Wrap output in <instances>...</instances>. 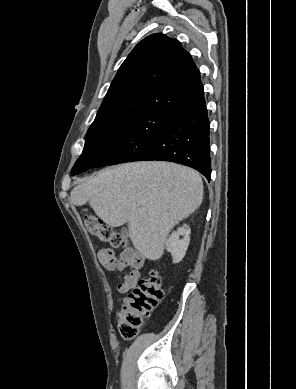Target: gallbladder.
I'll use <instances>...</instances> for the list:
<instances>
[{
    "label": "gallbladder",
    "mask_w": 296,
    "mask_h": 389,
    "mask_svg": "<svg viewBox=\"0 0 296 389\" xmlns=\"http://www.w3.org/2000/svg\"><path fill=\"white\" fill-rule=\"evenodd\" d=\"M121 232H122V236H127L128 234V230L126 228H122Z\"/></svg>",
    "instance_id": "gallbladder-1"
}]
</instances>
